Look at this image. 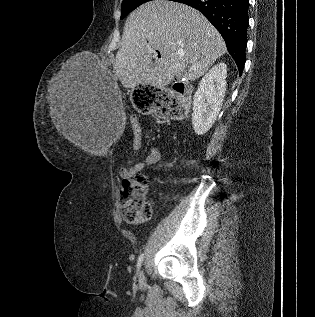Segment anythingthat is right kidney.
Returning a JSON list of instances; mask_svg holds the SVG:
<instances>
[{
  "mask_svg": "<svg viewBox=\"0 0 315 317\" xmlns=\"http://www.w3.org/2000/svg\"><path fill=\"white\" fill-rule=\"evenodd\" d=\"M227 66L220 62L202 78L193 97L192 124L197 135L205 134L214 124L225 96Z\"/></svg>",
  "mask_w": 315,
  "mask_h": 317,
  "instance_id": "right-kidney-1",
  "label": "right kidney"
}]
</instances>
